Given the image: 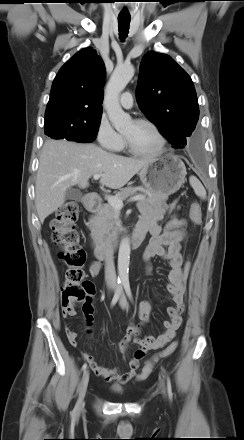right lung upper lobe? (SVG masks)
Returning <instances> with one entry per match:
<instances>
[{
	"instance_id": "1",
	"label": "right lung upper lobe",
	"mask_w": 244,
	"mask_h": 440,
	"mask_svg": "<svg viewBox=\"0 0 244 440\" xmlns=\"http://www.w3.org/2000/svg\"><path fill=\"white\" fill-rule=\"evenodd\" d=\"M105 76L104 63L95 50L89 47L76 53L54 79L45 121H100Z\"/></svg>"
}]
</instances>
